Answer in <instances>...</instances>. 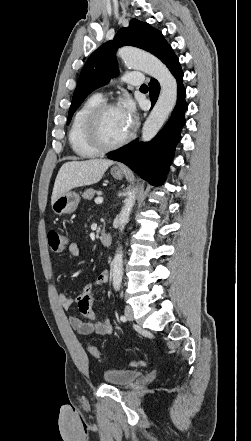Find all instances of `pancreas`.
<instances>
[{"mask_svg": "<svg viewBox=\"0 0 251 441\" xmlns=\"http://www.w3.org/2000/svg\"><path fill=\"white\" fill-rule=\"evenodd\" d=\"M96 193H99V191L89 188L82 194V198L91 200Z\"/></svg>", "mask_w": 251, "mask_h": 441, "instance_id": "obj_1", "label": "pancreas"}]
</instances>
